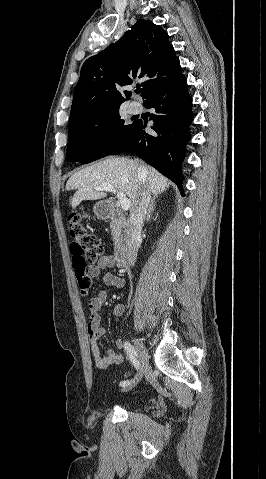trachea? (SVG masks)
<instances>
[{"label":"trachea","mask_w":266,"mask_h":479,"mask_svg":"<svg viewBox=\"0 0 266 479\" xmlns=\"http://www.w3.org/2000/svg\"><path fill=\"white\" fill-rule=\"evenodd\" d=\"M141 92H142V89H139V88H138V89L136 90V93H137V94H139V93H141Z\"/></svg>","instance_id":"3493384b"}]
</instances>
